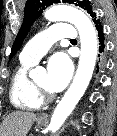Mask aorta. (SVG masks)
<instances>
[{"mask_svg": "<svg viewBox=\"0 0 117 136\" xmlns=\"http://www.w3.org/2000/svg\"><path fill=\"white\" fill-rule=\"evenodd\" d=\"M45 18L52 22L67 21L73 24L80 36L81 54L75 78L57 105L51 118L49 129L55 133L77 105L91 80L98 52V40L95 27L89 17L82 11L66 6L56 5L45 12ZM38 68L31 71L34 74Z\"/></svg>", "mask_w": 117, "mask_h": 136, "instance_id": "1", "label": "aorta"}]
</instances>
